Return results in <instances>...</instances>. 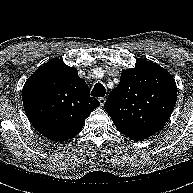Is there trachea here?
<instances>
[{"label": "trachea", "instance_id": "obj_1", "mask_svg": "<svg viewBox=\"0 0 193 193\" xmlns=\"http://www.w3.org/2000/svg\"><path fill=\"white\" fill-rule=\"evenodd\" d=\"M106 93L105 87L102 83H96L93 90L91 91V96L94 97H104Z\"/></svg>", "mask_w": 193, "mask_h": 193}]
</instances>
